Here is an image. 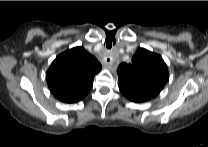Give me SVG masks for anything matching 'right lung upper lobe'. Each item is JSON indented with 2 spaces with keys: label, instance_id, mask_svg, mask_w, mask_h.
Listing matches in <instances>:
<instances>
[{
  "label": "right lung upper lobe",
  "instance_id": "1",
  "mask_svg": "<svg viewBox=\"0 0 208 147\" xmlns=\"http://www.w3.org/2000/svg\"><path fill=\"white\" fill-rule=\"evenodd\" d=\"M102 66L82 47L67 50L56 57L46 73L51 93L60 101L75 103L83 99Z\"/></svg>",
  "mask_w": 208,
  "mask_h": 147
}]
</instances>
